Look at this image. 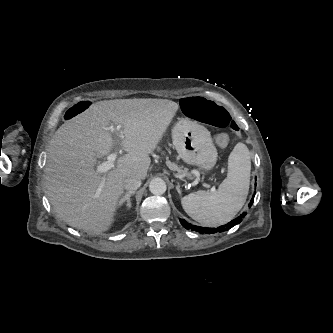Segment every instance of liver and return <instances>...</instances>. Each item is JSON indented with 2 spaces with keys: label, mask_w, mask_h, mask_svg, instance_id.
<instances>
[{
  "label": "liver",
  "mask_w": 333,
  "mask_h": 333,
  "mask_svg": "<svg viewBox=\"0 0 333 333\" xmlns=\"http://www.w3.org/2000/svg\"><path fill=\"white\" fill-rule=\"evenodd\" d=\"M177 109V103L165 99L105 100L65 121L49 143L44 169L47 196L58 216L88 233L107 231L114 222L124 180L146 178L149 155ZM111 122L121 125L117 140L108 131ZM116 142L126 154L108 173L95 170L97 158L108 155Z\"/></svg>",
  "instance_id": "6515ba94"
}]
</instances>
